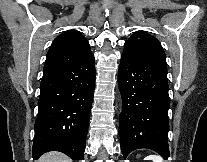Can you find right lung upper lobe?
Wrapping results in <instances>:
<instances>
[{
	"instance_id": "obj_1",
	"label": "right lung upper lobe",
	"mask_w": 207,
	"mask_h": 162,
	"mask_svg": "<svg viewBox=\"0 0 207 162\" xmlns=\"http://www.w3.org/2000/svg\"><path fill=\"white\" fill-rule=\"evenodd\" d=\"M93 56L88 41L79 31L69 30L52 43L46 57L44 73L55 71Z\"/></svg>"
}]
</instances>
